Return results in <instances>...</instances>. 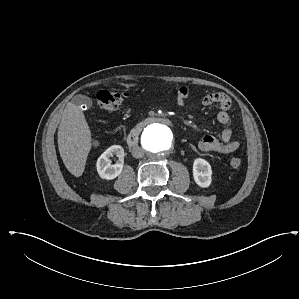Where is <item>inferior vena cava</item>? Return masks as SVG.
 I'll use <instances>...</instances> for the list:
<instances>
[{
  "label": "inferior vena cava",
  "instance_id": "602c4592",
  "mask_svg": "<svg viewBox=\"0 0 299 299\" xmlns=\"http://www.w3.org/2000/svg\"><path fill=\"white\" fill-rule=\"evenodd\" d=\"M131 153H132V156L137 159L144 156V150L139 146L133 147Z\"/></svg>",
  "mask_w": 299,
  "mask_h": 299
}]
</instances>
